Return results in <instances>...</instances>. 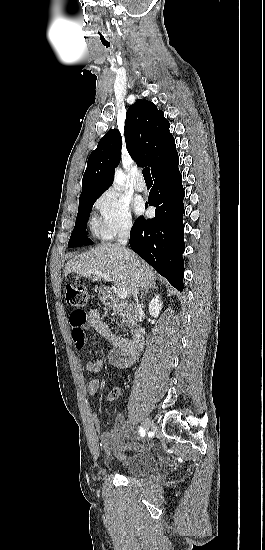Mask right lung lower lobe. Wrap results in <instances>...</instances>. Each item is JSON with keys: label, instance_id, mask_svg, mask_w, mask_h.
Masks as SVG:
<instances>
[{"label": "right lung lower lobe", "instance_id": "1", "mask_svg": "<svg viewBox=\"0 0 265 550\" xmlns=\"http://www.w3.org/2000/svg\"><path fill=\"white\" fill-rule=\"evenodd\" d=\"M174 153L153 170L154 185L146 205L156 207L155 217H140L130 232V246L179 291L183 290L184 189Z\"/></svg>", "mask_w": 265, "mask_h": 550}]
</instances>
